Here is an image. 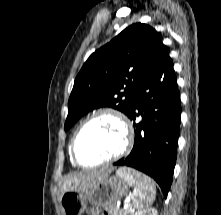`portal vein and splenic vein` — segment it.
Instances as JSON below:
<instances>
[{
	"label": "portal vein and splenic vein",
	"instance_id": "18ae733b",
	"mask_svg": "<svg viewBox=\"0 0 221 215\" xmlns=\"http://www.w3.org/2000/svg\"><path fill=\"white\" fill-rule=\"evenodd\" d=\"M126 207H128V205H127V204H125V208H126Z\"/></svg>",
	"mask_w": 221,
	"mask_h": 215
}]
</instances>
